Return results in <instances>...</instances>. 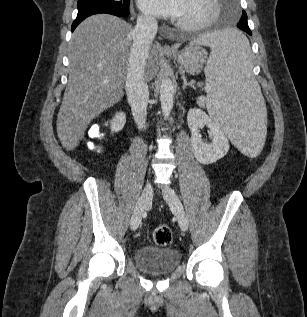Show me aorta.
Returning <instances> with one entry per match:
<instances>
[{
  "instance_id": "obj_1",
  "label": "aorta",
  "mask_w": 307,
  "mask_h": 317,
  "mask_svg": "<svg viewBox=\"0 0 307 317\" xmlns=\"http://www.w3.org/2000/svg\"><path fill=\"white\" fill-rule=\"evenodd\" d=\"M174 87L170 78H164L160 86V102L164 120L170 117L173 108Z\"/></svg>"
}]
</instances>
